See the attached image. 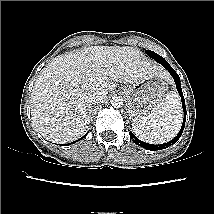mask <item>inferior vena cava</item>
I'll list each match as a JSON object with an SVG mask.
<instances>
[{"label":"inferior vena cava","instance_id":"1","mask_svg":"<svg viewBox=\"0 0 214 214\" xmlns=\"http://www.w3.org/2000/svg\"><path fill=\"white\" fill-rule=\"evenodd\" d=\"M107 99V92L104 90H93L89 93V101L92 104H99Z\"/></svg>","mask_w":214,"mask_h":214}]
</instances>
